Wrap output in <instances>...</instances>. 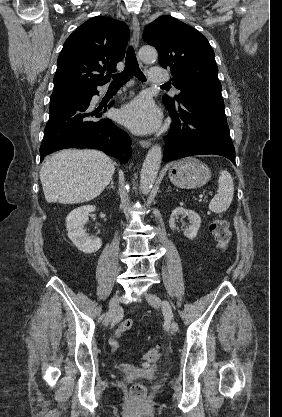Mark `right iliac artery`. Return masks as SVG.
<instances>
[{
    "label": "right iliac artery",
    "mask_w": 282,
    "mask_h": 417,
    "mask_svg": "<svg viewBox=\"0 0 282 417\" xmlns=\"http://www.w3.org/2000/svg\"><path fill=\"white\" fill-rule=\"evenodd\" d=\"M105 315H102L100 319H102Z\"/></svg>",
    "instance_id": "82829eb1"
}]
</instances>
